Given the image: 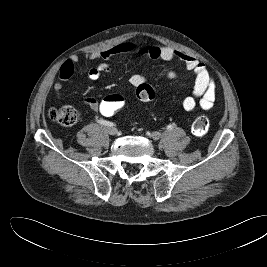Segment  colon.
<instances>
[{
    "label": "colon",
    "instance_id": "obj_1",
    "mask_svg": "<svg viewBox=\"0 0 267 267\" xmlns=\"http://www.w3.org/2000/svg\"><path fill=\"white\" fill-rule=\"evenodd\" d=\"M136 95L140 101L151 102L155 98L154 89L148 84H140L136 88ZM128 100L124 93L115 92L103 97L98 106V111L105 117H113L126 110ZM49 118L63 126H72L78 120L77 111L71 106L51 108L48 112ZM209 118L205 115L198 116L192 124V132L196 136H203L209 130Z\"/></svg>",
    "mask_w": 267,
    "mask_h": 267
}]
</instances>
